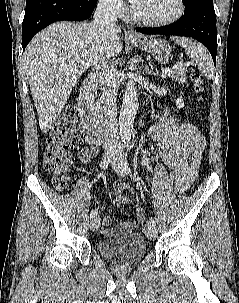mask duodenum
I'll return each mask as SVG.
<instances>
[{
	"instance_id": "obj_1",
	"label": "duodenum",
	"mask_w": 239,
	"mask_h": 303,
	"mask_svg": "<svg viewBox=\"0 0 239 303\" xmlns=\"http://www.w3.org/2000/svg\"><path fill=\"white\" fill-rule=\"evenodd\" d=\"M98 82L97 74H90L82 83L79 93V113L82 126L94 137L99 138L105 134V117L94 106L92 92Z\"/></svg>"
}]
</instances>
